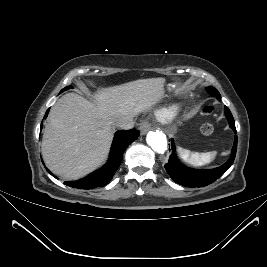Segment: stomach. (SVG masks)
Instances as JSON below:
<instances>
[{"label": "stomach", "instance_id": "0dacf381", "mask_svg": "<svg viewBox=\"0 0 267 267\" xmlns=\"http://www.w3.org/2000/svg\"><path fill=\"white\" fill-rule=\"evenodd\" d=\"M174 87H175V85H174V84H171V85H170V88H174Z\"/></svg>", "mask_w": 267, "mask_h": 267}]
</instances>
